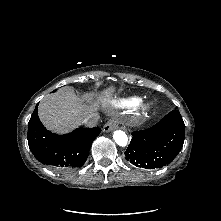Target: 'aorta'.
I'll use <instances>...</instances> for the list:
<instances>
[{"label":"aorta","instance_id":"obj_1","mask_svg":"<svg viewBox=\"0 0 221 221\" xmlns=\"http://www.w3.org/2000/svg\"><path fill=\"white\" fill-rule=\"evenodd\" d=\"M113 139L115 140V142L119 145V146H126L128 143V137L125 134V132L121 131V130H116L113 133Z\"/></svg>","mask_w":221,"mask_h":221}]
</instances>
